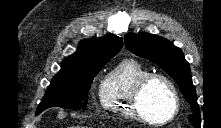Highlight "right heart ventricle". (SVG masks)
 Wrapping results in <instances>:
<instances>
[{
  "label": "right heart ventricle",
  "instance_id": "obj_1",
  "mask_svg": "<svg viewBox=\"0 0 221 128\" xmlns=\"http://www.w3.org/2000/svg\"><path fill=\"white\" fill-rule=\"evenodd\" d=\"M151 71L139 60L128 57L118 62L103 78L100 98L103 108L119 117L138 119L131 106L136 83Z\"/></svg>",
  "mask_w": 221,
  "mask_h": 128
}]
</instances>
